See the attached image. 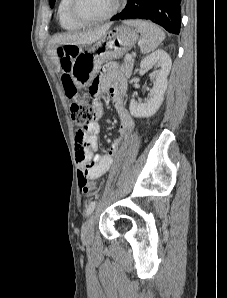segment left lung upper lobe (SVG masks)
<instances>
[{"instance_id": "5c2ea615", "label": "left lung upper lobe", "mask_w": 227, "mask_h": 298, "mask_svg": "<svg viewBox=\"0 0 227 298\" xmlns=\"http://www.w3.org/2000/svg\"><path fill=\"white\" fill-rule=\"evenodd\" d=\"M55 1H56V0H49V3H50L51 8H53V6H54V4H55Z\"/></svg>"}]
</instances>
